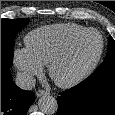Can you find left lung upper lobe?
<instances>
[{
  "mask_svg": "<svg viewBox=\"0 0 115 115\" xmlns=\"http://www.w3.org/2000/svg\"><path fill=\"white\" fill-rule=\"evenodd\" d=\"M110 72H115V41L111 36L108 40V52L104 62L91 74V76H99Z\"/></svg>",
  "mask_w": 115,
  "mask_h": 115,
  "instance_id": "1",
  "label": "left lung upper lobe"
}]
</instances>
